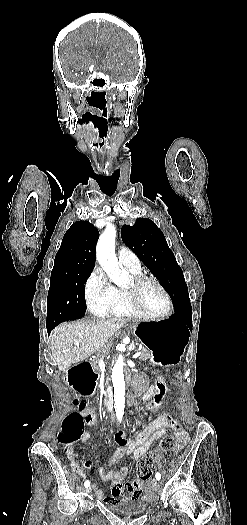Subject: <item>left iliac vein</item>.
I'll use <instances>...</instances> for the list:
<instances>
[{"label":"left iliac vein","instance_id":"obj_1","mask_svg":"<svg viewBox=\"0 0 247 525\" xmlns=\"http://www.w3.org/2000/svg\"><path fill=\"white\" fill-rule=\"evenodd\" d=\"M153 484L157 485V481L155 479H153Z\"/></svg>","mask_w":247,"mask_h":525}]
</instances>
